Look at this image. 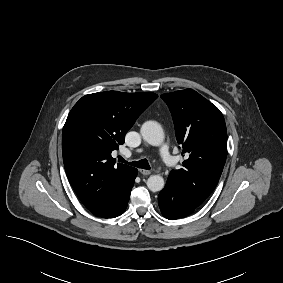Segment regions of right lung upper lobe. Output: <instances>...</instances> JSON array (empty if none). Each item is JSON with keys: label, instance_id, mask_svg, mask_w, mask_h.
Returning <instances> with one entry per match:
<instances>
[{"label": "right lung upper lobe", "instance_id": "obj_1", "mask_svg": "<svg viewBox=\"0 0 283 283\" xmlns=\"http://www.w3.org/2000/svg\"><path fill=\"white\" fill-rule=\"evenodd\" d=\"M157 97L151 92H99L83 96L70 111L62 133L64 167L77 196L94 215L108 210L137 172L116 165L111 153Z\"/></svg>", "mask_w": 283, "mask_h": 283}]
</instances>
